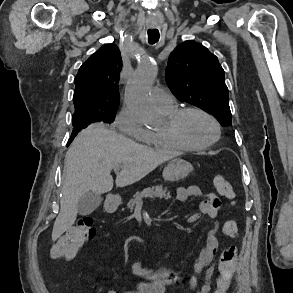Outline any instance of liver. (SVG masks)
<instances>
[{
	"instance_id": "obj_1",
	"label": "liver",
	"mask_w": 293,
	"mask_h": 293,
	"mask_svg": "<svg viewBox=\"0 0 293 293\" xmlns=\"http://www.w3.org/2000/svg\"><path fill=\"white\" fill-rule=\"evenodd\" d=\"M176 154L155 151L101 125L82 130L65 156L66 175L60 198V212L55 220L52 239L57 240L75 222L78 202L92 191L107 193L113 188L111 170L117 166V187L138 182Z\"/></svg>"
}]
</instances>
